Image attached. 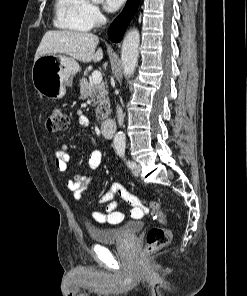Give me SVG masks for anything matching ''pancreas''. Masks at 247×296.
<instances>
[{"label": "pancreas", "mask_w": 247, "mask_h": 296, "mask_svg": "<svg viewBox=\"0 0 247 296\" xmlns=\"http://www.w3.org/2000/svg\"><path fill=\"white\" fill-rule=\"evenodd\" d=\"M80 94L82 99L91 98L96 105L97 121L104 120L110 113V102L108 99V92L105 85L93 84L83 77L80 79ZM103 110L106 112L103 113Z\"/></svg>", "instance_id": "obj_1"}]
</instances>
